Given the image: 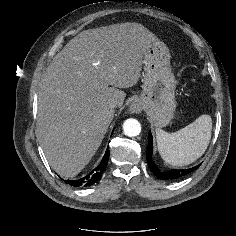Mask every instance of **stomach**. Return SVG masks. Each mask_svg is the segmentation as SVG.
Wrapping results in <instances>:
<instances>
[{
	"instance_id": "1",
	"label": "stomach",
	"mask_w": 236,
	"mask_h": 236,
	"mask_svg": "<svg viewBox=\"0 0 236 236\" xmlns=\"http://www.w3.org/2000/svg\"><path fill=\"white\" fill-rule=\"evenodd\" d=\"M143 64L142 91L133 109L141 107L156 127H164L170 123L176 109V80L165 44H152L143 57Z\"/></svg>"
}]
</instances>
